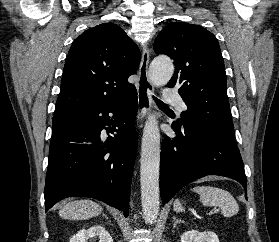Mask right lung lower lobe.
Here are the masks:
<instances>
[{
    "label": "right lung lower lobe",
    "instance_id": "obj_1",
    "mask_svg": "<svg viewBox=\"0 0 279 242\" xmlns=\"http://www.w3.org/2000/svg\"><path fill=\"white\" fill-rule=\"evenodd\" d=\"M137 108L135 91L115 105L58 117L60 123L52 128L49 149L46 211L67 197H91L128 215L137 151ZM104 128L117 134L104 140Z\"/></svg>",
    "mask_w": 279,
    "mask_h": 242
}]
</instances>
